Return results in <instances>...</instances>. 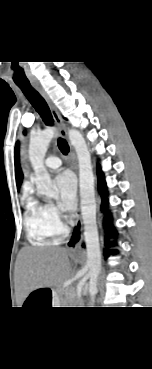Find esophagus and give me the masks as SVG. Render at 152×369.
Returning <instances> with one entry per match:
<instances>
[{"instance_id":"34e87169","label":"esophagus","mask_w":152,"mask_h":369,"mask_svg":"<svg viewBox=\"0 0 152 369\" xmlns=\"http://www.w3.org/2000/svg\"><path fill=\"white\" fill-rule=\"evenodd\" d=\"M32 86L40 93V95L45 99V101L47 102L51 114L56 122V124L59 127L60 130V134L62 137L67 139V131H66V126L65 123L58 111V109L56 108V106L54 105L53 101L50 99L49 95L46 93V91L44 90V88L41 86L40 83L38 82H32ZM68 141V139H67ZM69 143V147H70V155L73 161V164L75 166V168L77 169V159H76V154L74 151V148L72 147V145ZM82 218L79 215L76 219L75 225L66 241V246L67 248H69L70 250H76L80 248V244L82 241Z\"/></svg>"}]
</instances>
